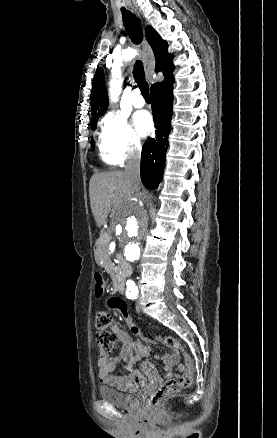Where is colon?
<instances>
[{"instance_id":"obj_1","label":"colon","mask_w":277,"mask_h":438,"mask_svg":"<svg viewBox=\"0 0 277 438\" xmlns=\"http://www.w3.org/2000/svg\"><path fill=\"white\" fill-rule=\"evenodd\" d=\"M95 287L94 296L96 299H100L104 296L106 290V279L100 272H96L94 275ZM111 315L107 311H97L94 319L95 327L101 329L96 333V343L100 351V356L105 357L112 352L115 343L116 336L107 331V327L111 322ZM143 340L151 343L165 344L167 347L181 349V344L172 337H145ZM186 359H189L186 357ZM193 382L192 372H186L182 374L178 380H164L163 386L160 389H150L149 393L145 394V408L146 409H159L160 402H165L166 398L180 392L191 386Z\"/></svg>"}]
</instances>
